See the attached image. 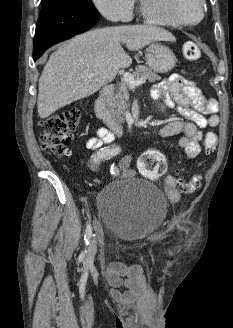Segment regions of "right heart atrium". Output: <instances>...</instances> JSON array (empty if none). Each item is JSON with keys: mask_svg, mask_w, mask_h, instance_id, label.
<instances>
[{"mask_svg": "<svg viewBox=\"0 0 233 328\" xmlns=\"http://www.w3.org/2000/svg\"><path fill=\"white\" fill-rule=\"evenodd\" d=\"M97 11L111 21H128L133 16L135 0H91Z\"/></svg>", "mask_w": 233, "mask_h": 328, "instance_id": "d8ad5b80", "label": "right heart atrium"}]
</instances>
